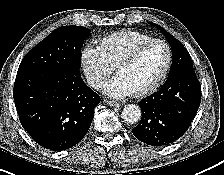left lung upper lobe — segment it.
<instances>
[{
  "label": "left lung upper lobe",
  "instance_id": "1",
  "mask_svg": "<svg viewBox=\"0 0 224 175\" xmlns=\"http://www.w3.org/2000/svg\"><path fill=\"white\" fill-rule=\"evenodd\" d=\"M152 25L155 24L152 23ZM156 27L165 35L172 48L173 61L169 75L181 69H193L190 54L188 53L186 48L165 29H163L159 25H156Z\"/></svg>",
  "mask_w": 224,
  "mask_h": 175
}]
</instances>
